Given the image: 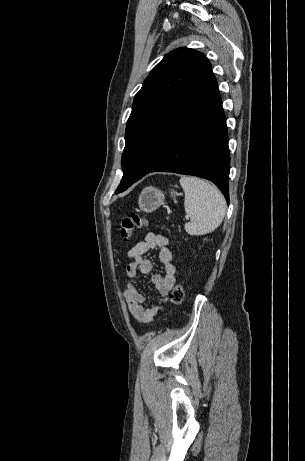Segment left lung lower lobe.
Segmentation results:
<instances>
[{
  "mask_svg": "<svg viewBox=\"0 0 305 461\" xmlns=\"http://www.w3.org/2000/svg\"><path fill=\"white\" fill-rule=\"evenodd\" d=\"M226 119L211 68L157 135L147 172H174L212 181L229 202ZM138 179V180H139Z\"/></svg>",
  "mask_w": 305,
  "mask_h": 461,
  "instance_id": "0a47b994",
  "label": "left lung lower lobe"
}]
</instances>
